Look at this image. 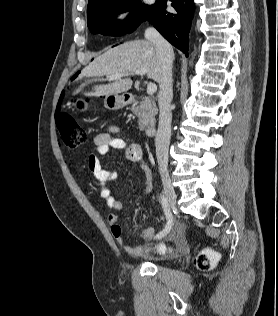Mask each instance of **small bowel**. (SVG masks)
<instances>
[{
    "label": "small bowel",
    "instance_id": "1",
    "mask_svg": "<svg viewBox=\"0 0 278 316\" xmlns=\"http://www.w3.org/2000/svg\"><path fill=\"white\" fill-rule=\"evenodd\" d=\"M118 132L119 128L112 125L108 128L107 132L96 135L94 138L95 154H91L88 158V167L99 182L101 197L105 200L107 206L114 211L121 210L122 204L113 196L111 189L108 187V183L116 179L117 172L103 165L98 155H107L112 149L123 151L124 157L130 162L137 163L138 167L144 173L145 191L150 192L152 189V173L150 168L142 162L143 153L141 146L136 142L127 143L122 138L114 136V134ZM108 222L116 242L124 247L126 253L138 255L141 250L139 246L125 244L122 227L118 224V215L116 213H110ZM158 234H156L155 230L151 227L141 231L142 237L146 239L156 237ZM174 235L177 240H182V229L178 224L175 226Z\"/></svg>",
    "mask_w": 278,
    "mask_h": 316
}]
</instances>
